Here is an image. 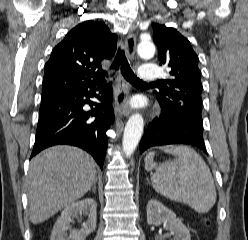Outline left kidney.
<instances>
[{
	"label": "left kidney",
	"mask_w": 248,
	"mask_h": 240,
	"mask_svg": "<svg viewBox=\"0 0 248 240\" xmlns=\"http://www.w3.org/2000/svg\"><path fill=\"white\" fill-rule=\"evenodd\" d=\"M164 222L169 223L174 240H191L189 230L180 219L176 218L173 211L157 200H150L147 204V223L160 225Z\"/></svg>",
	"instance_id": "5707ae66"
}]
</instances>
